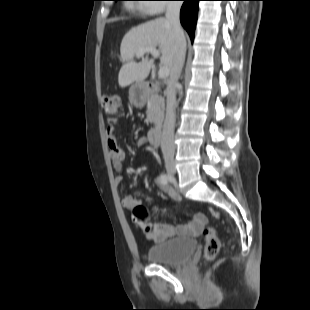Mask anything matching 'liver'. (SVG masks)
<instances>
[{"mask_svg":"<svg viewBox=\"0 0 310 310\" xmlns=\"http://www.w3.org/2000/svg\"><path fill=\"white\" fill-rule=\"evenodd\" d=\"M174 46V31L166 18H157L129 30L120 46L123 65L118 75L119 86L123 88L132 82L142 83L147 78L153 60L145 57L140 63L134 61L135 55L147 47L159 48L161 65L168 67L170 72Z\"/></svg>","mask_w":310,"mask_h":310,"instance_id":"obj_1","label":"liver"}]
</instances>
